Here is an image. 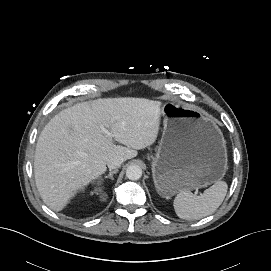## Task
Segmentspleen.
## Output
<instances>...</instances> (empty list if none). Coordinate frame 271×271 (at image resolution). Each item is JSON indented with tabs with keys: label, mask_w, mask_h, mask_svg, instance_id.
<instances>
[{
	"label": "spleen",
	"mask_w": 271,
	"mask_h": 271,
	"mask_svg": "<svg viewBox=\"0 0 271 271\" xmlns=\"http://www.w3.org/2000/svg\"><path fill=\"white\" fill-rule=\"evenodd\" d=\"M227 189L226 182L217 181L199 196L190 191H182L174 199L175 212L184 220H199L211 215L222 204Z\"/></svg>",
	"instance_id": "obj_1"
}]
</instances>
